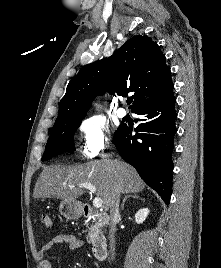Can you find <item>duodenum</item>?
I'll use <instances>...</instances> for the list:
<instances>
[{"mask_svg": "<svg viewBox=\"0 0 221 268\" xmlns=\"http://www.w3.org/2000/svg\"><path fill=\"white\" fill-rule=\"evenodd\" d=\"M84 215L86 217L97 216L103 224L109 223V217L103 214H96L90 207L84 208ZM92 254L98 261H102L107 256V241L104 237H100L93 242Z\"/></svg>", "mask_w": 221, "mask_h": 268, "instance_id": "410a0bca", "label": "duodenum"}]
</instances>
